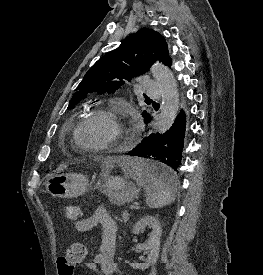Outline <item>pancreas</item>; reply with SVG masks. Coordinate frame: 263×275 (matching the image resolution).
Returning a JSON list of instances; mask_svg holds the SVG:
<instances>
[{
  "mask_svg": "<svg viewBox=\"0 0 263 275\" xmlns=\"http://www.w3.org/2000/svg\"><path fill=\"white\" fill-rule=\"evenodd\" d=\"M122 218L124 221L129 220V213L127 211L122 212Z\"/></svg>",
  "mask_w": 263,
  "mask_h": 275,
  "instance_id": "pancreas-1",
  "label": "pancreas"
}]
</instances>
